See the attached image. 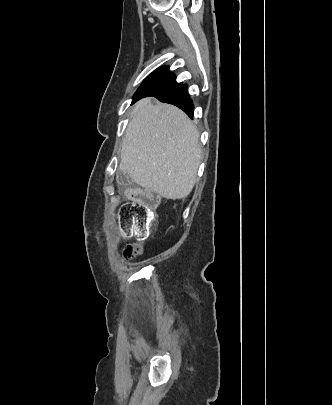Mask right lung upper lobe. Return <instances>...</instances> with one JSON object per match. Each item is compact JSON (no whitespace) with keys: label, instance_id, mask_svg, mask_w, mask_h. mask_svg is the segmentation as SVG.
I'll return each mask as SVG.
<instances>
[{"label":"right lung upper lobe","instance_id":"right-lung-upper-lobe-1","mask_svg":"<svg viewBox=\"0 0 332 405\" xmlns=\"http://www.w3.org/2000/svg\"><path fill=\"white\" fill-rule=\"evenodd\" d=\"M153 73H159V74H164V75H168V76H175L174 74H172L169 71V68L167 66L160 67V68L156 69Z\"/></svg>","mask_w":332,"mask_h":405}]
</instances>
